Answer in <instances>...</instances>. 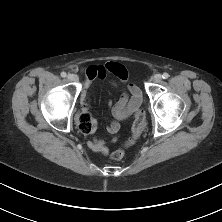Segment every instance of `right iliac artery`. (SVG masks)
Wrapping results in <instances>:
<instances>
[{
  "mask_svg": "<svg viewBox=\"0 0 222 222\" xmlns=\"http://www.w3.org/2000/svg\"><path fill=\"white\" fill-rule=\"evenodd\" d=\"M61 77L65 78V77H66V73H65V72H62V73H61Z\"/></svg>",
  "mask_w": 222,
  "mask_h": 222,
  "instance_id": "1",
  "label": "right iliac artery"
}]
</instances>
